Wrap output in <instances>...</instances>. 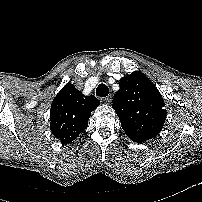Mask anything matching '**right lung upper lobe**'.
Returning <instances> with one entry per match:
<instances>
[{
	"mask_svg": "<svg viewBox=\"0 0 202 202\" xmlns=\"http://www.w3.org/2000/svg\"><path fill=\"white\" fill-rule=\"evenodd\" d=\"M99 104L93 95L84 96L74 85H65L51 104V132L63 144L72 142L88 127L91 112Z\"/></svg>",
	"mask_w": 202,
	"mask_h": 202,
	"instance_id": "obj_1",
	"label": "right lung upper lobe"
}]
</instances>
